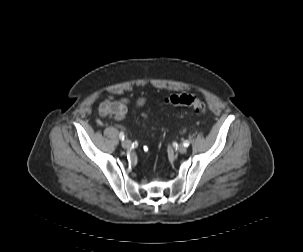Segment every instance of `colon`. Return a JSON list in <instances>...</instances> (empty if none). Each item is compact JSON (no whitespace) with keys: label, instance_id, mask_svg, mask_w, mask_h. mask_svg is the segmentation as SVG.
<instances>
[{"label":"colon","instance_id":"1","mask_svg":"<svg viewBox=\"0 0 303 252\" xmlns=\"http://www.w3.org/2000/svg\"><path fill=\"white\" fill-rule=\"evenodd\" d=\"M165 102L171 105L186 106L197 113H203L206 110L205 103L196 95L190 93L174 94L165 99Z\"/></svg>","mask_w":303,"mask_h":252}]
</instances>
